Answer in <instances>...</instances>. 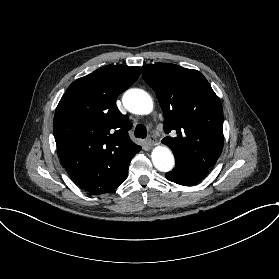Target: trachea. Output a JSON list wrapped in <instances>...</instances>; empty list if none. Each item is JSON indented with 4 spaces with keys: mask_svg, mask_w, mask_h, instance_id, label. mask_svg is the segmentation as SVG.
Wrapping results in <instances>:
<instances>
[{
    "mask_svg": "<svg viewBox=\"0 0 279 279\" xmlns=\"http://www.w3.org/2000/svg\"><path fill=\"white\" fill-rule=\"evenodd\" d=\"M147 130L143 125H137L135 128V137L136 138H146Z\"/></svg>",
    "mask_w": 279,
    "mask_h": 279,
    "instance_id": "obj_1",
    "label": "trachea"
}]
</instances>
